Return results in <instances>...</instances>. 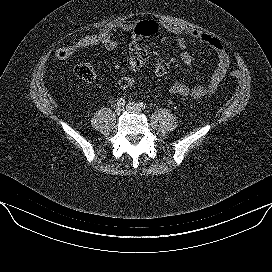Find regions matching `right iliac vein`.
Listing matches in <instances>:
<instances>
[{
	"label": "right iliac vein",
	"instance_id": "63e3f726",
	"mask_svg": "<svg viewBox=\"0 0 272 272\" xmlns=\"http://www.w3.org/2000/svg\"><path fill=\"white\" fill-rule=\"evenodd\" d=\"M123 111H124V108H123V107H120V106H118V107L116 108V110H115V112H116L117 115H120Z\"/></svg>",
	"mask_w": 272,
	"mask_h": 272
}]
</instances>
